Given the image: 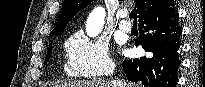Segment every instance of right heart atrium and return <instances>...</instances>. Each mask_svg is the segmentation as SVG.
I'll use <instances>...</instances> for the list:
<instances>
[{"label": "right heart atrium", "mask_w": 205, "mask_h": 87, "mask_svg": "<svg viewBox=\"0 0 205 87\" xmlns=\"http://www.w3.org/2000/svg\"><path fill=\"white\" fill-rule=\"evenodd\" d=\"M65 56V72L72 77H102L114 69L107 43L83 32H76L68 38Z\"/></svg>", "instance_id": "1"}]
</instances>
